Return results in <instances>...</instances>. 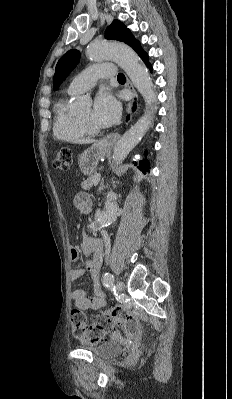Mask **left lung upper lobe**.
<instances>
[{
  "mask_svg": "<svg viewBox=\"0 0 232 399\" xmlns=\"http://www.w3.org/2000/svg\"><path fill=\"white\" fill-rule=\"evenodd\" d=\"M105 38L124 42L131 46L135 51L141 47L139 41L133 37L130 30L118 20H114L107 28ZM79 59L80 53L78 50H70L61 57L56 65V71L53 77L54 89H57L61 85L78 64Z\"/></svg>",
  "mask_w": 232,
  "mask_h": 399,
  "instance_id": "5c2ea615",
  "label": "left lung upper lobe"
}]
</instances>
